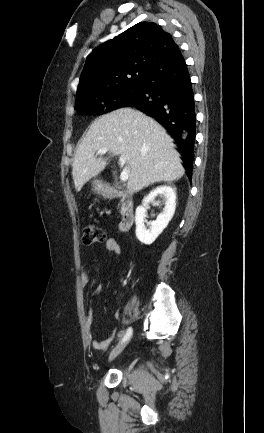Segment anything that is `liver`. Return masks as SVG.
Wrapping results in <instances>:
<instances>
[{
    "instance_id": "obj_1",
    "label": "liver",
    "mask_w": 264,
    "mask_h": 433,
    "mask_svg": "<svg viewBox=\"0 0 264 433\" xmlns=\"http://www.w3.org/2000/svg\"><path fill=\"white\" fill-rule=\"evenodd\" d=\"M102 148L126 157L127 189L131 192L156 182L178 180L185 173L164 128L140 111L120 108L96 119L78 145L72 164L77 192L108 165L107 159L95 157Z\"/></svg>"
}]
</instances>
